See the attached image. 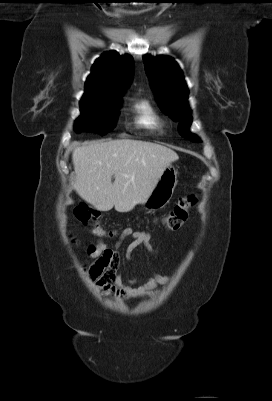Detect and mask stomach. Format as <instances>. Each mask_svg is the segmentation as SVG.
I'll return each instance as SVG.
<instances>
[{
    "instance_id": "stomach-1",
    "label": "stomach",
    "mask_w": 272,
    "mask_h": 401,
    "mask_svg": "<svg viewBox=\"0 0 272 401\" xmlns=\"http://www.w3.org/2000/svg\"><path fill=\"white\" fill-rule=\"evenodd\" d=\"M177 182V170L172 165H168L151 194L142 202L144 208L154 211L165 207L172 198Z\"/></svg>"
}]
</instances>
